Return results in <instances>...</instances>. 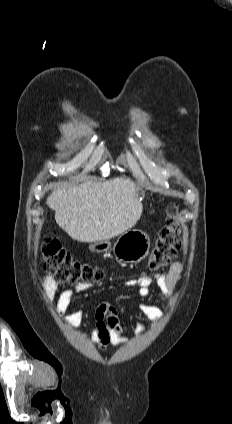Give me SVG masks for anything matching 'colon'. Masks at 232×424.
<instances>
[{"label":"colon","instance_id":"5ec220e1","mask_svg":"<svg viewBox=\"0 0 232 424\" xmlns=\"http://www.w3.org/2000/svg\"><path fill=\"white\" fill-rule=\"evenodd\" d=\"M181 233L178 207L172 205L166 211L164 224L158 231L148 258L150 270H159L171 263L177 255ZM42 263L48 281L54 284L99 282L105 277L102 269L75 258L58 241L51 238L44 241Z\"/></svg>","mask_w":232,"mask_h":424}]
</instances>
